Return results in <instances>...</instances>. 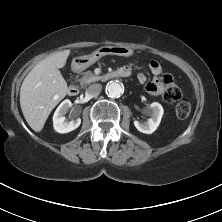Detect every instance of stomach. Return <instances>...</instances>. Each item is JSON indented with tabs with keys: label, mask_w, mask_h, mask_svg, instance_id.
Returning <instances> with one entry per match:
<instances>
[{
	"label": "stomach",
	"mask_w": 222,
	"mask_h": 222,
	"mask_svg": "<svg viewBox=\"0 0 222 222\" xmlns=\"http://www.w3.org/2000/svg\"><path fill=\"white\" fill-rule=\"evenodd\" d=\"M133 50L126 46H104L92 55L78 56L72 60L71 67L74 71H82L94 64L100 57L105 55L131 56Z\"/></svg>",
	"instance_id": "0dacf381"
}]
</instances>
